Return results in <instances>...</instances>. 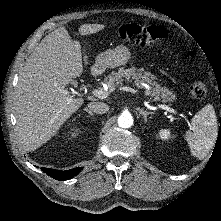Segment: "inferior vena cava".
Returning a JSON list of instances; mask_svg holds the SVG:
<instances>
[{"mask_svg":"<svg viewBox=\"0 0 221 221\" xmlns=\"http://www.w3.org/2000/svg\"><path fill=\"white\" fill-rule=\"evenodd\" d=\"M89 110L94 113L104 114L109 110V106L101 102H91L88 104Z\"/></svg>","mask_w":221,"mask_h":221,"instance_id":"obj_1","label":"inferior vena cava"}]
</instances>
